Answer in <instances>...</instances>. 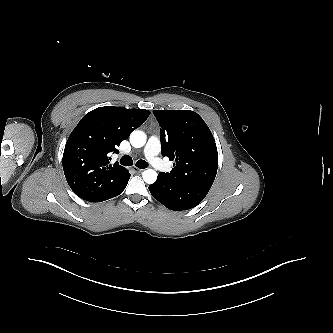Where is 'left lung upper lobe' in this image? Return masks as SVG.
Here are the masks:
<instances>
[{
	"instance_id": "obj_1",
	"label": "left lung upper lobe",
	"mask_w": 333,
	"mask_h": 333,
	"mask_svg": "<svg viewBox=\"0 0 333 333\" xmlns=\"http://www.w3.org/2000/svg\"><path fill=\"white\" fill-rule=\"evenodd\" d=\"M153 113L161 126V153L175 161L166 174L177 183L210 189L218 169V152L204 120L190 110Z\"/></svg>"
}]
</instances>
